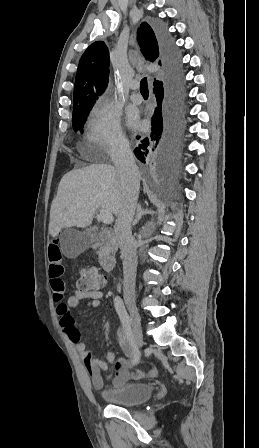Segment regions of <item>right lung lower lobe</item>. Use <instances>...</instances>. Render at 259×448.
<instances>
[{
	"instance_id": "1",
	"label": "right lung lower lobe",
	"mask_w": 259,
	"mask_h": 448,
	"mask_svg": "<svg viewBox=\"0 0 259 448\" xmlns=\"http://www.w3.org/2000/svg\"><path fill=\"white\" fill-rule=\"evenodd\" d=\"M155 32L160 45L164 83L153 89L157 107L151 118L150 139L144 138L134 153L145 163L151 151L156 149L167 170L174 171L180 167L184 153L185 82L179 54L167 28L157 24ZM136 138L140 139V136Z\"/></svg>"
}]
</instances>
